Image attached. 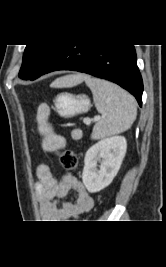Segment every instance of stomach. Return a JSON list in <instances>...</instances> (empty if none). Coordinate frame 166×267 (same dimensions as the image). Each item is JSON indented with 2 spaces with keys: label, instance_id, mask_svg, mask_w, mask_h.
Wrapping results in <instances>:
<instances>
[{
  "label": "stomach",
  "instance_id": "1",
  "mask_svg": "<svg viewBox=\"0 0 166 267\" xmlns=\"http://www.w3.org/2000/svg\"><path fill=\"white\" fill-rule=\"evenodd\" d=\"M57 112L65 118L82 114L90 109V100L86 95L60 93L54 100Z\"/></svg>",
  "mask_w": 166,
  "mask_h": 267
}]
</instances>
